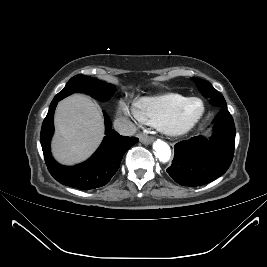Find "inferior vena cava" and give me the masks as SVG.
Returning <instances> with one entry per match:
<instances>
[{
	"instance_id": "inferior-vena-cava-1",
	"label": "inferior vena cava",
	"mask_w": 267,
	"mask_h": 267,
	"mask_svg": "<svg viewBox=\"0 0 267 267\" xmlns=\"http://www.w3.org/2000/svg\"><path fill=\"white\" fill-rule=\"evenodd\" d=\"M114 129L123 136H132L136 132L135 125L124 117H120L114 120Z\"/></svg>"
}]
</instances>
